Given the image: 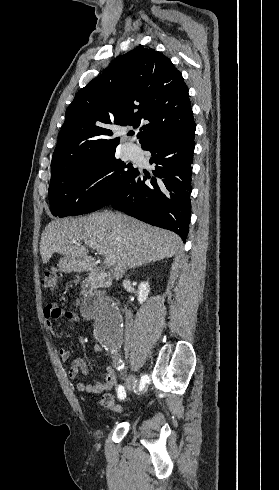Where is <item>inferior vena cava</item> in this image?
Wrapping results in <instances>:
<instances>
[{"label": "inferior vena cava", "mask_w": 279, "mask_h": 490, "mask_svg": "<svg viewBox=\"0 0 279 490\" xmlns=\"http://www.w3.org/2000/svg\"><path fill=\"white\" fill-rule=\"evenodd\" d=\"M126 320H128V322H133V314L130 310H126Z\"/></svg>", "instance_id": "602c4592"}]
</instances>
